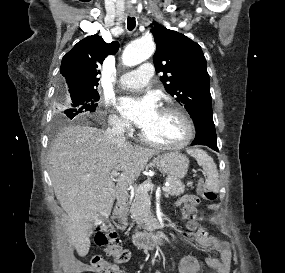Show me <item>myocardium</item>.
I'll list each match as a JSON object with an SVG mask.
<instances>
[{
	"instance_id": "myocardium-1",
	"label": "myocardium",
	"mask_w": 285,
	"mask_h": 273,
	"mask_svg": "<svg viewBox=\"0 0 285 273\" xmlns=\"http://www.w3.org/2000/svg\"><path fill=\"white\" fill-rule=\"evenodd\" d=\"M160 110L163 112L175 113L176 115H178L181 118V120L185 126L184 137L180 141L175 142V143H161V142H155V141L149 139L144 134V132L141 131L139 133L140 140L143 143H145L151 147H155V148H159V149L178 150V149H182V148L188 146L193 141V139L195 137V125H194L192 118L188 114V112L184 108H182L181 106H179L177 104L165 105V106L161 107Z\"/></svg>"
}]
</instances>
